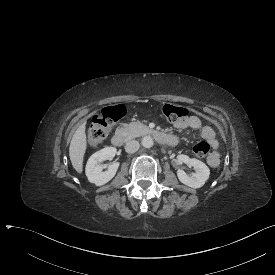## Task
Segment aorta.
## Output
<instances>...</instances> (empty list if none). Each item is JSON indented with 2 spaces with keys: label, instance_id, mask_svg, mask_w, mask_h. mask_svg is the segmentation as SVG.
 <instances>
[{
  "label": "aorta",
  "instance_id": "obj_1",
  "mask_svg": "<svg viewBox=\"0 0 275 275\" xmlns=\"http://www.w3.org/2000/svg\"><path fill=\"white\" fill-rule=\"evenodd\" d=\"M153 145H154V141H153V139L150 136L143 137V139H142V146L144 148L149 149V148L153 147Z\"/></svg>",
  "mask_w": 275,
  "mask_h": 275
}]
</instances>
